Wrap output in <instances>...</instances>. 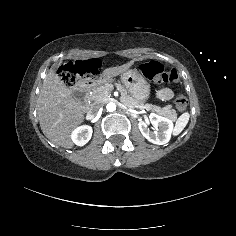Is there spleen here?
I'll list each match as a JSON object with an SVG mask.
<instances>
[{
    "mask_svg": "<svg viewBox=\"0 0 236 236\" xmlns=\"http://www.w3.org/2000/svg\"><path fill=\"white\" fill-rule=\"evenodd\" d=\"M190 119L189 112H183L175 122L174 128L172 130V135L174 137L181 134V132L185 129Z\"/></svg>",
    "mask_w": 236,
    "mask_h": 236,
    "instance_id": "1",
    "label": "spleen"
}]
</instances>
